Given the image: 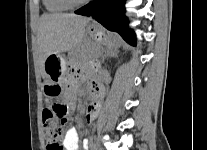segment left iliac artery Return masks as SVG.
<instances>
[{
  "label": "left iliac artery",
  "instance_id": "obj_1",
  "mask_svg": "<svg viewBox=\"0 0 207 150\" xmlns=\"http://www.w3.org/2000/svg\"><path fill=\"white\" fill-rule=\"evenodd\" d=\"M83 144H84V147H87V145H88V140H84V141H83Z\"/></svg>",
  "mask_w": 207,
  "mask_h": 150
}]
</instances>
